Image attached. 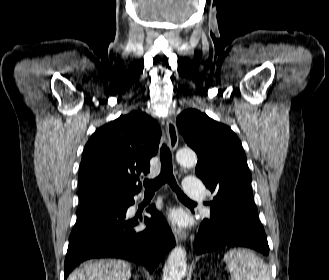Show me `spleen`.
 I'll list each match as a JSON object with an SVG mask.
<instances>
[{
	"instance_id": "3e777b00",
	"label": "spleen",
	"mask_w": 329,
	"mask_h": 280,
	"mask_svg": "<svg viewBox=\"0 0 329 280\" xmlns=\"http://www.w3.org/2000/svg\"><path fill=\"white\" fill-rule=\"evenodd\" d=\"M231 280H271L268 266L254 252L232 249L224 256Z\"/></svg>"
}]
</instances>
